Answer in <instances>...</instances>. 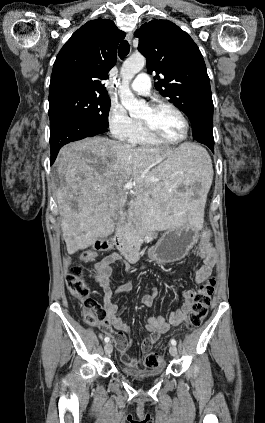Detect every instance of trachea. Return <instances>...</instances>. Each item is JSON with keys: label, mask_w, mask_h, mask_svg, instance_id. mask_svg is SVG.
I'll return each mask as SVG.
<instances>
[{"label": "trachea", "mask_w": 265, "mask_h": 423, "mask_svg": "<svg viewBox=\"0 0 265 423\" xmlns=\"http://www.w3.org/2000/svg\"><path fill=\"white\" fill-rule=\"evenodd\" d=\"M130 51V45L127 41H122L118 48V55L120 58H124Z\"/></svg>", "instance_id": "3493384b"}]
</instances>
